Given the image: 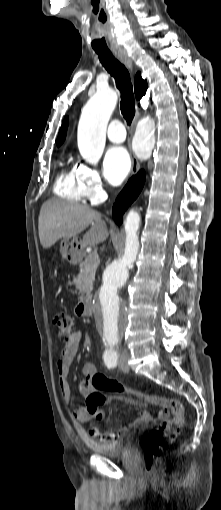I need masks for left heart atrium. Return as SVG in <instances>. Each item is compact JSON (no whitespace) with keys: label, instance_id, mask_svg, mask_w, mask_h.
<instances>
[{"label":"left heart atrium","instance_id":"1","mask_svg":"<svg viewBox=\"0 0 221 510\" xmlns=\"http://www.w3.org/2000/svg\"><path fill=\"white\" fill-rule=\"evenodd\" d=\"M103 166L108 181L112 185H119L130 171L129 153L122 146H112L105 153Z\"/></svg>","mask_w":221,"mask_h":510}]
</instances>
